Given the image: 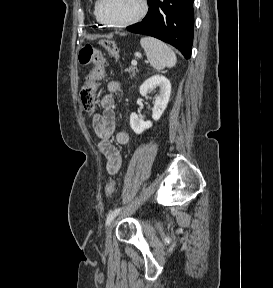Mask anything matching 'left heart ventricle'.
Listing matches in <instances>:
<instances>
[{
  "instance_id": "b2bd125f",
  "label": "left heart ventricle",
  "mask_w": 273,
  "mask_h": 288,
  "mask_svg": "<svg viewBox=\"0 0 273 288\" xmlns=\"http://www.w3.org/2000/svg\"><path fill=\"white\" fill-rule=\"evenodd\" d=\"M140 10V0H104L101 13L110 22L125 21Z\"/></svg>"
}]
</instances>
